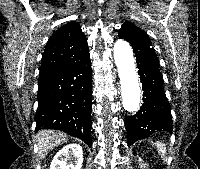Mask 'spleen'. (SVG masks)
<instances>
[{"instance_id":"obj_1","label":"spleen","mask_w":200,"mask_h":169,"mask_svg":"<svg viewBox=\"0 0 200 169\" xmlns=\"http://www.w3.org/2000/svg\"><path fill=\"white\" fill-rule=\"evenodd\" d=\"M156 148L158 149V152L161 156H164L166 154V145L164 143H161L159 141H157L155 143Z\"/></svg>"}]
</instances>
